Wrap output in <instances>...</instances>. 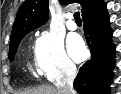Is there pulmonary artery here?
<instances>
[{"instance_id":"1","label":"pulmonary artery","mask_w":121,"mask_h":94,"mask_svg":"<svg viewBox=\"0 0 121 94\" xmlns=\"http://www.w3.org/2000/svg\"><path fill=\"white\" fill-rule=\"evenodd\" d=\"M67 22H66V26L69 30H76L77 25L73 19V14L72 13H68L67 14Z\"/></svg>"}]
</instances>
